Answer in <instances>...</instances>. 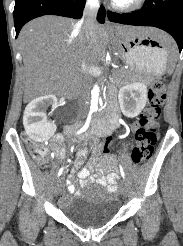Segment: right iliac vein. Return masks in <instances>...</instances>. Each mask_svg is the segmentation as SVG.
Wrapping results in <instances>:
<instances>
[{"instance_id": "obj_1", "label": "right iliac vein", "mask_w": 183, "mask_h": 246, "mask_svg": "<svg viewBox=\"0 0 183 246\" xmlns=\"http://www.w3.org/2000/svg\"><path fill=\"white\" fill-rule=\"evenodd\" d=\"M61 185H62V180L60 179V180L57 182L56 186H55V190H54L55 195H58V193H59V191H60V189H61Z\"/></svg>"}]
</instances>
